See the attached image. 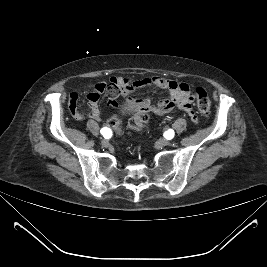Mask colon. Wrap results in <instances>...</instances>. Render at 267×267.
<instances>
[{
  "instance_id": "colon-1",
  "label": "colon",
  "mask_w": 267,
  "mask_h": 267,
  "mask_svg": "<svg viewBox=\"0 0 267 267\" xmlns=\"http://www.w3.org/2000/svg\"><path fill=\"white\" fill-rule=\"evenodd\" d=\"M196 105L198 110L201 113H208L211 108V101L206 92V90L202 87H198L196 89ZM149 118V113L146 110L141 109L138 114L133 116L129 121V127L133 131H141L144 127L145 122ZM120 123L121 120L118 116H112L109 118L107 124L110 128H112L115 132L120 131Z\"/></svg>"
}]
</instances>
